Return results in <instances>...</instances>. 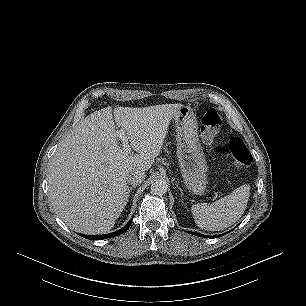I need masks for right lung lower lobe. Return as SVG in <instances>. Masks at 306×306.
<instances>
[{
	"label": "right lung lower lobe",
	"instance_id": "obj_1",
	"mask_svg": "<svg viewBox=\"0 0 306 306\" xmlns=\"http://www.w3.org/2000/svg\"><path fill=\"white\" fill-rule=\"evenodd\" d=\"M132 220H130L123 228H121L118 231H115L113 233H109V234H105V235H97V236H88V235H84V234H80L82 237H85L87 239H91V240H100V239H106V238H110V237H114L117 235L122 234L123 232H125L131 224Z\"/></svg>",
	"mask_w": 306,
	"mask_h": 306
}]
</instances>
